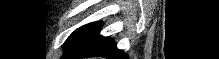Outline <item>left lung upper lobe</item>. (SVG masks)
I'll return each mask as SVG.
<instances>
[{"mask_svg":"<svg viewBox=\"0 0 219 59\" xmlns=\"http://www.w3.org/2000/svg\"><path fill=\"white\" fill-rule=\"evenodd\" d=\"M96 25V22H92L76 29L64 44L65 53L62 59H66L92 33Z\"/></svg>","mask_w":219,"mask_h":59,"instance_id":"1","label":"left lung upper lobe"}]
</instances>
